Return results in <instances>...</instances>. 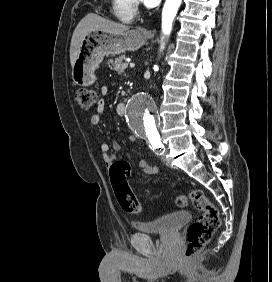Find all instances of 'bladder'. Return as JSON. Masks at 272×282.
<instances>
[{"mask_svg":"<svg viewBox=\"0 0 272 282\" xmlns=\"http://www.w3.org/2000/svg\"><path fill=\"white\" fill-rule=\"evenodd\" d=\"M191 218L187 211H178L151 221H133V227L144 234H171Z\"/></svg>","mask_w":272,"mask_h":282,"instance_id":"bladder-1","label":"bladder"}]
</instances>
